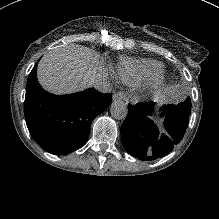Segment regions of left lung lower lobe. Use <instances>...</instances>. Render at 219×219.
I'll use <instances>...</instances> for the list:
<instances>
[{"mask_svg": "<svg viewBox=\"0 0 219 219\" xmlns=\"http://www.w3.org/2000/svg\"><path fill=\"white\" fill-rule=\"evenodd\" d=\"M153 103L128 105V115L121 126V140L125 150L141 160H155L172 151L183 138L190 112L175 105L163 107L165 129L149 117Z\"/></svg>", "mask_w": 219, "mask_h": 219, "instance_id": "left-lung-lower-lobe-1", "label": "left lung lower lobe"}]
</instances>
